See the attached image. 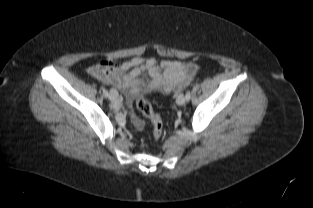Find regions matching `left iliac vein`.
<instances>
[{
    "label": "left iliac vein",
    "mask_w": 313,
    "mask_h": 208,
    "mask_svg": "<svg viewBox=\"0 0 313 208\" xmlns=\"http://www.w3.org/2000/svg\"><path fill=\"white\" fill-rule=\"evenodd\" d=\"M185 102H186V97L184 96V94L178 95V97L176 98V103L182 106L185 104Z\"/></svg>",
    "instance_id": "obj_1"
}]
</instances>
